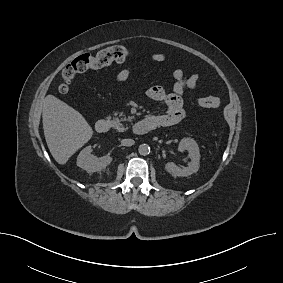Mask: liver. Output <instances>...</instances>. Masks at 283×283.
Here are the masks:
<instances>
[{
	"mask_svg": "<svg viewBox=\"0 0 283 283\" xmlns=\"http://www.w3.org/2000/svg\"><path fill=\"white\" fill-rule=\"evenodd\" d=\"M43 129L53 158L61 165L92 137L93 131L75 109L53 95L43 103Z\"/></svg>",
	"mask_w": 283,
	"mask_h": 283,
	"instance_id": "liver-1",
	"label": "liver"
}]
</instances>
